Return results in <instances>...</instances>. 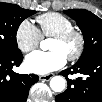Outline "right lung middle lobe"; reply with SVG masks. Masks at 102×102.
I'll list each match as a JSON object with an SVG mask.
<instances>
[{"label": "right lung middle lobe", "mask_w": 102, "mask_h": 102, "mask_svg": "<svg viewBox=\"0 0 102 102\" xmlns=\"http://www.w3.org/2000/svg\"><path fill=\"white\" fill-rule=\"evenodd\" d=\"M35 13L15 4L0 3V54L20 52L16 41L18 27L24 19Z\"/></svg>", "instance_id": "right-lung-middle-lobe-1"}]
</instances>
